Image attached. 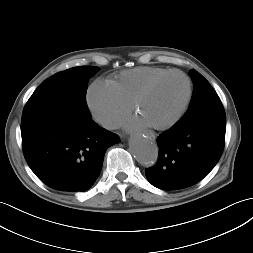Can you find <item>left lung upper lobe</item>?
<instances>
[{"instance_id": "left-lung-upper-lobe-1", "label": "left lung upper lobe", "mask_w": 253, "mask_h": 253, "mask_svg": "<svg viewBox=\"0 0 253 253\" xmlns=\"http://www.w3.org/2000/svg\"><path fill=\"white\" fill-rule=\"evenodd\" d=\"M194 82L193 96L189 109L181 119L194 121L212 116H225L223 105L209 82L194 69L191 70Z\"/></svg>"}]
</instances>
